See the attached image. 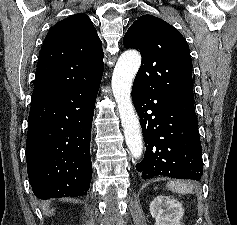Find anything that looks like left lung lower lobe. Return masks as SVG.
<instances>
[{
    "label": "left lung lower lobe",
    "mask_w": 237,
    "mask_h": 225,
    "mask_svg": "<svg viewBox=\"0 0 237 225\" xmlns=\"http://www.w3.org/2000/svg\"><path fill=\"white\" fill-rule=\"evenodd\" d=\"M132 100L146 146L144 159L136 165L142 178L162 175L200 180L202 147L194 98L155 94L133 84Z\"/></svg>",
    "instance_id": "left-lung-lower-lobe-1"
}]
</instances>
